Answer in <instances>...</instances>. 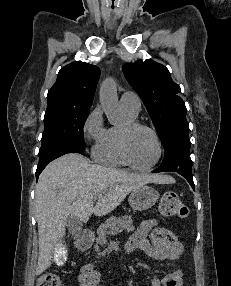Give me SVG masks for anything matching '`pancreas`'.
<instances>
[{"instance_id": "cf45deb5", "label": "pancreas", "mask_w": 231, "mask_h": 286, "mask_svg": "<svg viewBox=\"0 0 231 286\" xmlns=\"http://www.w3.org/2000/svg\"><path fill=\"white\" fill-rule=\"evenodd\" d=\"M134 228L131 217H109L105 223L101 224L97 229L98 237L96 238L95 250H99L98 245H104L107 243L108 235H114L122 232L123 230L133 231Z\"/></svg>"}]
</instances>
